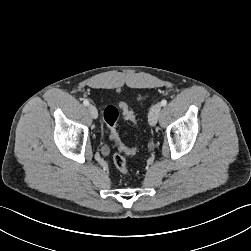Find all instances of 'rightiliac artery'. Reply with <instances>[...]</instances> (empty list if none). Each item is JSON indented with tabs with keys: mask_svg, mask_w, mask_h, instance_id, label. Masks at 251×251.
I'll use <instances>...</instances> for the list:
<instances>
[{
	"mask_svg": "<svg viewBox=\"0 0 251 251\" xmlns=\"http://www.w3.org/2000/svg\"><path fill=\"white\" fill-rule=\"evenodd\" d=\"M83 104H84L85 106H88V105H89V101H88V100H84V101H83Z\"/></svg>",
	"mask_w": 251,
	"mask_h": 251,
	"instance_id": "1",
	"label": "right iliac artery"
}]
</instances>
